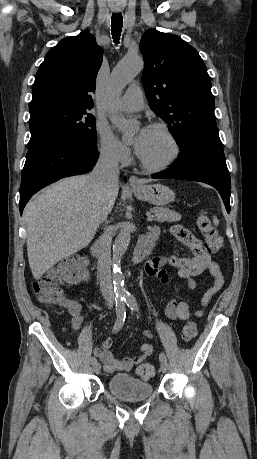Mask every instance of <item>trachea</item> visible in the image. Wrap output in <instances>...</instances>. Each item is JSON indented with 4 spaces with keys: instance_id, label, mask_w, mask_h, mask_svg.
<instances>
[{
    "instance_id": "trachea-1",
    "label": "trachea",
    "mask_w": 257,
    "mask_h": 459,
    "mask_svg": "<svg viewBox=\"0 0 257 459\" xmlns=\"http://www.w3.org/2000/svg\"><path fill=\"white\" fill-rule=\"evenodd\" d=\"M122 14L117 13L113 14L111 18V32H112V38L114 40V43L118 44L122 32Z\"/></svg>"
}]
</instances>
